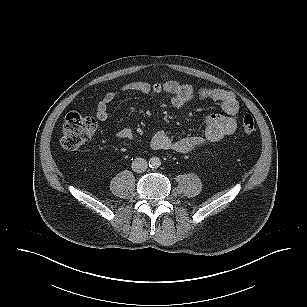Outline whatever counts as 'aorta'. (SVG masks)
Masks as SVG:
<instances>
[{
    "label": "aorta",
    "mask_w": 307,
    "mask_h": 307,
    "mask_svg": "<svg viewBox=\"0 0 307 307\" xmlns=\"http://www.w3.org/2000/svg\"><path fill=\"white\" fill-rule=\"evenodd\" d=\"M161 165V160L160 158L154 156L152 158H150L149 160V166L151 168H158Z\"/></svg>",
    "instance_id": "obj_1"
}]
</instances>
